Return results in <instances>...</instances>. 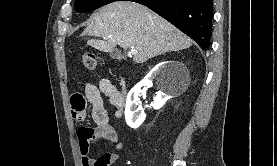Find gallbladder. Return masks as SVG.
<instances>
[{
	"label": "gallbladder",
	"mask_w": 277,
	"mask_h": 166,
	"mask_svg": "<svg viewBox=\"0 0 277 166\" xmlns=\"http://www.w3.org/2000/svg\"><path fill=\"white\" fill-rule=\"evenodd\" d=\"M110 57L112 58V59H121V53L118 51V50H116V49H113L111 52H110Z\"/></svg>",
	"instance_id": "obj_1"
}]
</instances>
